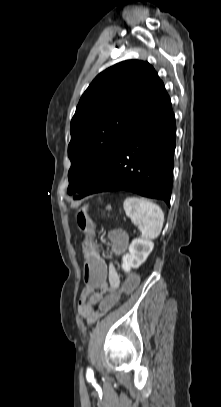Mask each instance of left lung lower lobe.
Wrapping results in <instances>:
<instances>
[{"label": "left lung lower lobe", "instance_id": "1", "mask_svg": "<svg viewBox=\"0 0 221 407\" xmlns=\"http://www.w3.org/2000/svg\"><path fill=\"white\" fill-rule=\"evenodd\" d=\"M175 147V117L161 81L127 127L110 162L77 199L126 190L170 205Z\"/></svg>", "mask_w": 221, "mask_h": 407}]
</instances>
